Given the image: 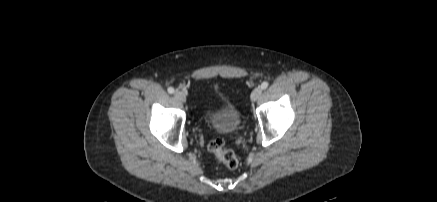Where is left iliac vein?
Masks as SVG:
<instances>
[{"instance_id": "4c4485c4", "label": "left iliac vein", "mask_w": 437, "mask_h": 202, "mask_svg": "<svg viewBox=\"0 0 437 202\" xmlns=\"http://www.w3.org/2000/svg\"><path fill=\"white\" fill-rule=\"evenodd\" d=\"M261 94H262V88L261 87H256L253 91H252V93H251V100L252 101H256V100H258L259 99V97L261 96Z\"/></svg>"}]
</instances>
